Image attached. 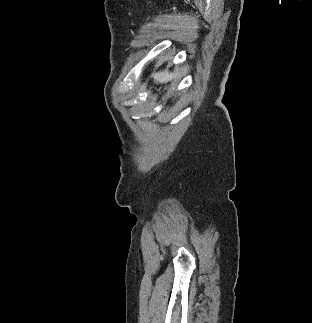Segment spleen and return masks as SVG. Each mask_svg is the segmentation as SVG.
Here are the masks:
<instances>
[{
  "mask_svg": "<svg viewBox=\"0 0 312 323\" xmlns=\"http://www.w3.org/2000/svg\"><path fill=\"white\" fill-rule=\"evenodd\" d=\"M153 78L155 82L164 84V82H171L174 78V74H169V72H158V74H153Z\"/></svg>",
  "mask_w": 312,
  "mask_h": 323,
  "instance_id": "1",
  "label": "spleen"
}]
</instances>
